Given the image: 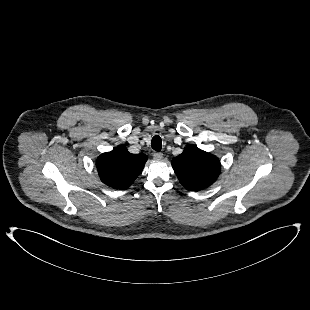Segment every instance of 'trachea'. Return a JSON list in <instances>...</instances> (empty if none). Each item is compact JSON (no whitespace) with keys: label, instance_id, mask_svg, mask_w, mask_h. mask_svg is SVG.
<instances>
[{"label":"trachea","instance_id":"trachea-1","mask_svg":"<svg viewBox=\"0 0 310 310\" xmlns=\"http://www.w3.org/2000/svg\"><path fill=\"white\" fill-rule=\"evenodd\" d=\"M151 146L155 151H160L162 149V141L158 135L152 138Z\"/></svg>","mask_w":310,"mask_h":310}]
</instances>
